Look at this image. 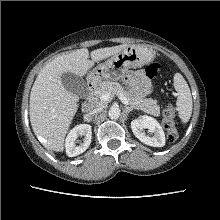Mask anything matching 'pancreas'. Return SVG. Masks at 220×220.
<instances>
[{"label":"pancreas","mask_w":220,"mask_h":220,"mask_svg":"<svg viewBox=\"0 0 220 220\" xmlns=\"http://www.w3.org/2000/svg\"><path fill=\"white\" fill-rule=\"evenodd\" d=\"M117 92H121L128 100L132 108L142 110L145 113L158 117L160 114V107L157 102L152 98H144L143 95L136 91H126L124 87L111 81H103L99 87L95 90L94 96L98 106H105V102L100 100V97L104 93H110L114 96Z\"/></svg>","instance_id":"obj_1"}]
</instances>
